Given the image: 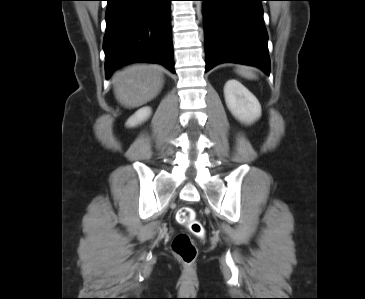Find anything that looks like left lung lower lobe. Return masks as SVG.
Returning a JSON list of instances; mask_svg holds the SVG:
<instances>
[{"label": "left lung lower lobe", "instance_id": "0a47b994", "mask_svg": "<svg viewBox=\"0 0 365 299\" xmlns=\"http://www.w3.org/2000/svg\"><path fill=\"white\" fill-rule=\"evenodd\" d=\"M200 1L204 2L205 72L220 63H238L258 67L268 75L263 0Z\"/></svg>", "mask_w": 365, "mask_h": 299}]
</instances>
